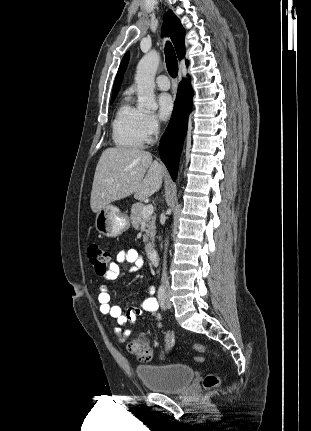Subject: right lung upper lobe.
<instances>
[{"mask_svg":"<svg viewBox=\"0 0 311 431\" xmlns=\"http://www.w3.org/2000/svg\"><path fill=\"white\" fill-rule=\"evenodd\" d=\"M168 35L175 47L178 59L181 60L184 58L185 54V30L182 27L180 20L176 17V15L169 10L164 16V23L162 26V35ZM129 61V53L127 52L120 64L114 86L112 91V97H116L118 91L121 86V82L123 79V74L126 70L127 64Z\"/></svg>","mask_w":311,"mask_h":431,"instance_id":"cb5924a9","label":"right lung upper lobe"}]
</instances>
